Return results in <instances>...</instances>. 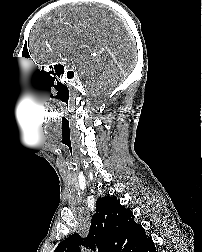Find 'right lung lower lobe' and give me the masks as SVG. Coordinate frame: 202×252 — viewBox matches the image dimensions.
<instances>
[{"mask_svg": "<svg viewBox=\"0 0 202 252\" xmlns=\"http://www.w3.org/2000/svg\"><path fill=\"white\" fill-rule=\"evenodd\" d=\"M143 252H157L155 250L153 242L145 250H143Z\"/></svg>", "mask_w": 202, "mask_h": 252, "instance_id": "obj_1", "label": "right lung lower lobe"}]
</instances>
